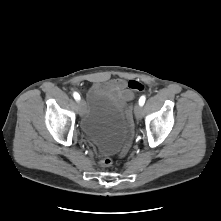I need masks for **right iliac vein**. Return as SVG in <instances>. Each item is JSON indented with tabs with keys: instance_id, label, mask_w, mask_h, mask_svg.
<instances>
[{
	"instance_id": "63e3f726",
	"label": "right iliac vein",
	"mask_w": 221,
	"mask_h": 221,
	"mask_svg": "<svg viewBox=\"0 0 221 221\" xmlns=\"http://www.w3.org/2000/svg\"><path fill=\"white\" fill-rule=\"evenodd\" d=\"M78 111H79L80 116H83V114H84V103H83V100H80L78 102Z\"/></svg>"
}]
</instances>
